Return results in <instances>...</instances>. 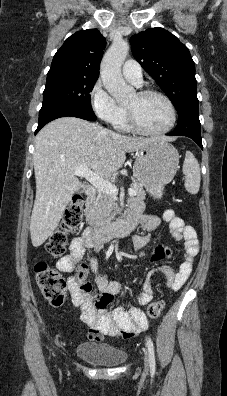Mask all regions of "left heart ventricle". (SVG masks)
<instances>
[{
	"instance_id": "obj_1",
	"label": "left heart ventricle",
	"mask_w": 227,
	"mask_h": 396,
	"mask_svg": "<svg viewBox=\"0 0 227 396\" xmlns=\"http://www.w3.org/2000/svg\"><path fill=\"white\" fill-rule=\"evenodd\" d=\"M138 122L148 130H160L170 121V111L165 101L156 95L139 96L135 94L127 103Z\"/></svg>"
}]
</instances>
